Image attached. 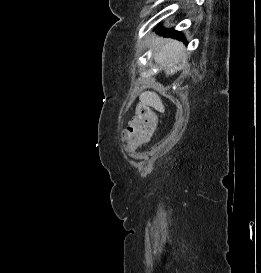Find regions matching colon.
I'll return each mask as SVG.
<instances>
[{
  "label": "colon",
  "instance_id": "1",
  "mask_svg": "<svg viewBox=\"0 0 261 273\" xmlns=\"http://www.w3.org/2000/svg\"><path fill=\"white\" fill-rule=\"evenodd\" d=\"M157 125L156 114L146 105L138 104L133 120L128 124L124 139L133 147L149 141Z\"/></svg>",
  "mask_w": 261,
  "mask_h": 273
}]
</instances>
